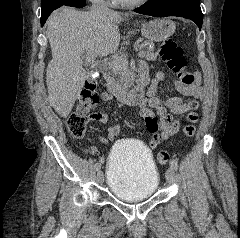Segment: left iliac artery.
<instances>
[{
    "label": "left iliac artery",
    "instance_id": "44dca946",
    "mask_svg": "<svg viewBox=\"0 0 240 238\" xmlns=\"http://www.w3.org/2000/svg\"><path fill=\"white\" fill-rule=\"evenodd\" d=\"M170 166L171 168H173L174 170H177L178 169V163L175 159H171L170 160Z\"/></svg>",
    "mask_w": 240,
    "mask_h": 238
}]
</instances>
